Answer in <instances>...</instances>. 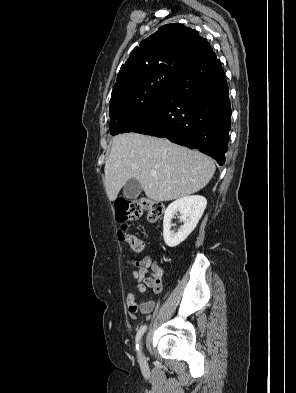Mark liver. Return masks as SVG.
Wrapping results in <instances>:
<instances>
[{
    "instance_id": "6515ba94",
    "label": "liver",
    "mask_w": 296,
    "mask_h": 393,
    "mask_svg": "<svg viewBox=\"0 0 296 393\" xmlns=\"http://www.w3.org/2000/svg\"><path fill=\"white\" fill-rule=\"evenodd\" d=\"M215 169L214 161L199 151L163 138L125 133L112 139L104 185L110 201L132 178L141 184L149 199L170 201L204 188ZM151 172H156V177Z\"/></svg>"
}]
</instances>
